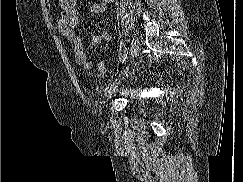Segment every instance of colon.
<instances>
[{
  "label": "colon",
  "mask_w": 243,
  "mask_h": 182,
  "mask_svg": "<svg viewBox=\"0 0 243 182\" xmlns=\"http://www.w3.org/2000/svg\"><path fill=\"white\" fill-rule=\"evenodd\" d=\"M96 71L99 76H104L107 72V68L103 62L97 63Z\"/></svg>",
  "instance_id": "1"
}]
</instances>
